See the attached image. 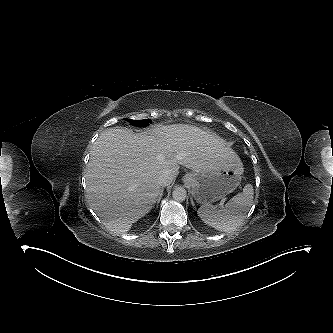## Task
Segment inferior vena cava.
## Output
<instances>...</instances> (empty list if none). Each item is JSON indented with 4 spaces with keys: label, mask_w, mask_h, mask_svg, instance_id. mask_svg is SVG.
Instances as JSON below:
<instances>
[{
    "label": "inferior vena cava",
    "mask_w": 333,
    "mask_h": 333,
    "mask_svg": "<svg viewBox=\"0 0 333 333\" xmlns=\"http://www.w3.org/2000/svg\"><path fill=\"white\" fill-rule=\"evenodd\" d=\"M172 181L173 177L168 171H163V173L157 179V182L161 187L168 186Z\"/></svg>",
    "instance_id": "602c4592"
}]
</instances>
